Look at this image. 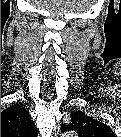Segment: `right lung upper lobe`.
Listing matches in <instances>:
<instances>
[{
    "label": "right lung upper lobe",
    "instance_id": "1",
    "mask_svg": "<svg viewBox=\"0 0 121 137\" xmlns=\"http://www.w3.org/2000/svg\"><path fill=\"white\" fill-rule=\"evenodd\" d=\"M34 132L31 116L20 105H12L1 112V135H29Z\"/></svg>",
    "mask_w": 121,
    "mask_h": 137
}]
</instances>
